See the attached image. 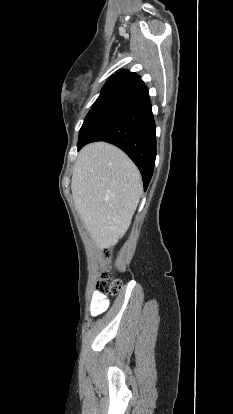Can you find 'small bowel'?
Listing matches in <instances>:
<instances>
[{
    "label": "small bowel",
    "instance_id": "small-bowel-1",
    "mask_svg": "<svg viewBox=\"0 0 233 414\" xmlns=\"http://www.w3.org/2000/svg\"><path fill=\"white\" fill-rule=\"evenodd\" d=\"M109 306V299L104 293L96 291L92 294L90 301V313L96 317L107 310Z\"/></svg>",
    "mask_w": 233,
    "mask_h": 414
}]
</instances>
